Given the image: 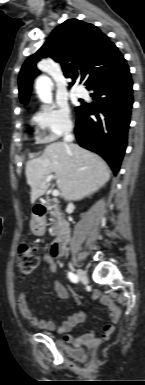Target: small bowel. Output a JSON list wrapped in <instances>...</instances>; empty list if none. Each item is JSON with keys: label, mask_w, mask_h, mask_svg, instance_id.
Masks as SVG:
<instances>
[{"label": "small bowel", "mask_w": 145, "mask_h": 385, "mask_svg": "<svg viewBox=\"0 0 145 385\" xmlns=\"http://www.w3.org/2000/svg\"><path fill=\"white\" fill-rule=\"evenodd\" d=\"M54 256L52 253H45L43 260L49 265L51 273L57 271V265L54 262ZM54 290L59 300H64L68 297V291L66 287L58 280L54 281ZM92 298L99 301L101 304L108 308V318L112 322L106 324L103 328V334L97 336L93 330L82 334L78 337H73L71 331L73 328L84 321L85 313L83 311L76 312L68 316L60 325H57L53 320L40 319L33 315L26 298L24 291H21L17 298V308L21 316L30 322L32 325L47 331H56L59 334L64 335L65 342L72 344L76 350L82 346H96L106 342L113 334L115 327L114 323L119 320L121 309L115 304L110 297L101 294L98 291L93 292Z\"/></svg>", "instance_id": "1"}]
</instances>
